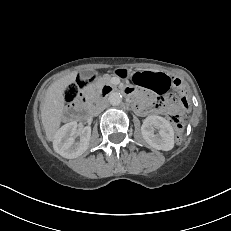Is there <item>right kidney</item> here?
Here are the masks:
<instances>
[{
	"label": "right kidney",
	"instance_id": "obj_1",
	"mask_svg": "<svg viewBox=\"0 0 231 231\" xmlns=\"http://www.w3.org/2000/svg\"><path fill=\"white\" fill-rule=\"evenodd\" d=\"M76 129L77 122H69L63 125L54 136L53 148L55 152L64 158H77L88 149L91 137V128L85 127L81 131L79 142H75Z\"/></svg>",
	"mask_w": 231,
	"mask_h": 231
}]
</instances>
